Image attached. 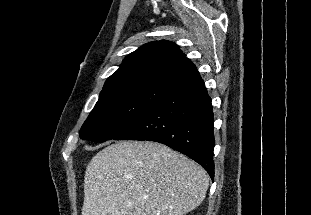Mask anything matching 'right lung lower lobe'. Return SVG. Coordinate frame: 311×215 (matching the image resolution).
<instances>
[{
    "label": "right lung lower lobe",
    "instance_id": "right-lung-lower-lobe-1",
    "mask_svg": "<svg viewBox=\"0 0 311 215\" xmlns=\"http://www.w3.org/2000/svg\"><path fill=\"white\" fill-rule=\"evenodd\" d=\"M213 108L197 70L172 82L158 103L114 140H147L165 144L214 177Z\"/></svg>",
    "mask_w": 311,
    "mask_h": 215
}]
</instances>
